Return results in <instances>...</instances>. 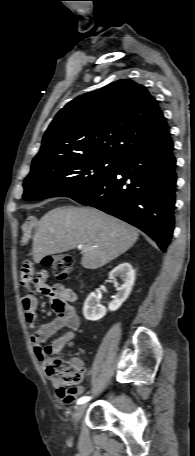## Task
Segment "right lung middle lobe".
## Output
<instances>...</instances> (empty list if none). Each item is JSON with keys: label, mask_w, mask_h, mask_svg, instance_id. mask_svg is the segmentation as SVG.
Masks as SVG:
<instances>
[{"label": "right lung middle lobe", "mask_w": 195, "mask_h": 456, "mask_svg": "<svg viewBox=\"0 0 195 456\" xmlns=\"http://www.w3.org/2000/svg\"><path fill=\"white\" fill-rule=\"evenodd\" d=\"M116 167L117 160L102 156L65 157L37 164L24 180L23 199H74L95 189Z\"/></svg>", "instance_id": "obj_1"}]
</instances>
